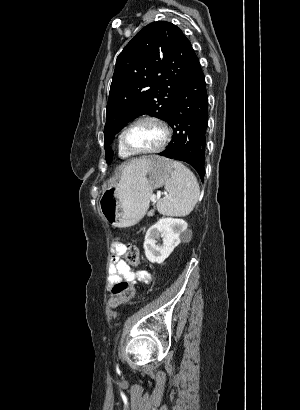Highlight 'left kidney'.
<instances>
[{
	"label": "left kidney",
	"mask_w": 300,
	"mask_h": 410,
	"mask_svg": "<svg viewBox=\"0 0 300 410\" xmlns=\"http://www.w3.org/2000/svg\"><path fill=\"white\" fill-rule=\"evenodd\" d=\"M187 222L183 219L163 217L152 225L146 232L144 250L146 258L152 263H163L180 244L181 234L187 229ZM162 244H157V239Z\"/></svg>",
	"instance_id": "left-kidney-1"
}]
</instances>
